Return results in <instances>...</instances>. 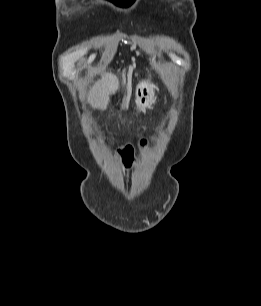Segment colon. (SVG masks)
Instances as JSON below:
<instances>
[{"label": "colon", "mask_w": 261, "mask_h": 306, "mask_svg": "<svg viewBox=\"0 0 261 306\" xmlns=\"http://www.w3.org/2000/svg\"><path fill=\"white\" fill-rule=\"evenodd\" d=\"M148 139L143 138L139 142L140 150L143 151L148 145ZM119 152L123 158L125 167H130L135 161V147L133 145L127 144L119 149Z\"/></svg>", "instance_id": "colon-1"}]
</instances>
